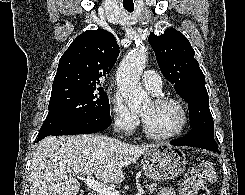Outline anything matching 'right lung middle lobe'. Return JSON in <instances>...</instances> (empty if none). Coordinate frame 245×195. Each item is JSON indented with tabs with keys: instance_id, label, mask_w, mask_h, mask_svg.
<instances>
[{
	"instance_id": "obj_1",
	"label": "right lung middle lobe",
	"mask_w": 245,
	"mask_h": 195,
	"mask_svg": "<svg viewBox=\"0 0 245 195\" xmlns=\"http://www.w3.org/2000/svg\"><path fill=\"white\" fill-rule=\"evenodd\" d=\"M97 113L110 114L109 99L101 86L75 87L52 92L49 112L38 136Z\"/></svg>"
}]
</instances>
